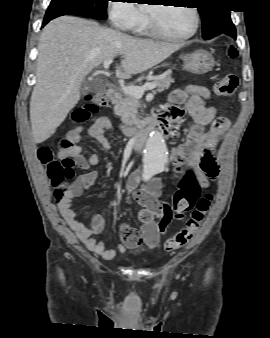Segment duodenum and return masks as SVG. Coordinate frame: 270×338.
I'll return each instance as SVG.
<instances>
[{
    "mask_svg": "<svg viewBox=\"0 0 270 338\" xmlns=\"http://www.w3.org/2000/svg\"><path fill=\"white\" fill-rule=\"evenodd\" d=\"M108 98L111 102L117 103L120 101V94L116 89H109L107 91ZM157 131L161 135L168 134L170 132V125L166 117L160 113H156L152 116V119L148 123H143L138 129V134L134 143L136 150L143 148L148 136Z\"/></svg>",
    "mask_w": 270,
    "mask_h": 338,
    "instance_id": "duodenum-1",
    "label": "duodenum"
}]
</instances>
